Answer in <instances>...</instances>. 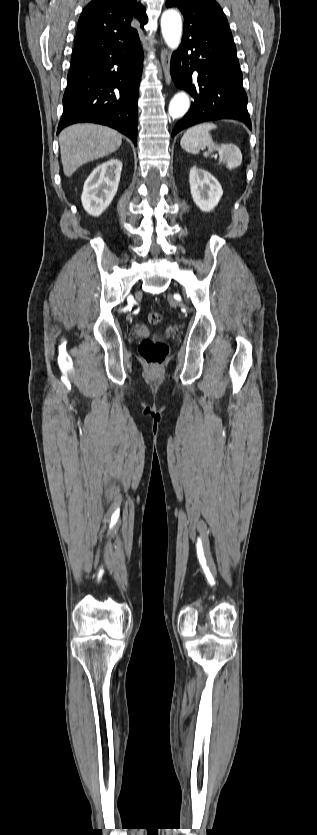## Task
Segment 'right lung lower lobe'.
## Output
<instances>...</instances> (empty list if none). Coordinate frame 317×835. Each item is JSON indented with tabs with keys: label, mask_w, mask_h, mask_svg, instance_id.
I'll use <instances>...</instances> for the list:
<instances>
[{
	"label": "right lung lower lobe",
	"mask_w": 317,
	"mask_h": 835,
	"mask_svg": "<svg viewBox=\"0 0 317 835\" xmlns=\"http://www.w3.org/2000/svg\"><path fill=\"white\" fill-rule=\"evenodd\" d=\"M142 67L139 38L113 50L74 51L57 134L66 126L91 122L112 127L136 144Z\"/></svg>",
	"instance_id": "98d812e1"
}]
</instances>
